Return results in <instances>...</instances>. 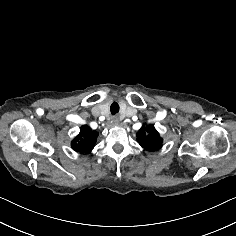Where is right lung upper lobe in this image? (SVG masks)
<instances>
[{
    "label": "right lung upper lobe",
    "instance_id": "cb5924a9",
    "mask_svg": "<svg viewBox=\"0 0 236 236\" xmlns=\"http://www.w3.org/2000/svg\"><path fill=\"white\" fill-rule=\"evenodd\" d=\"M97 132L84 125L80 128L79 135L72 141V148L81 154L89 153L94 148Z\"/></svg>",
    "mask_w": 236,
    "mask_h": 236
}]
</instances>
